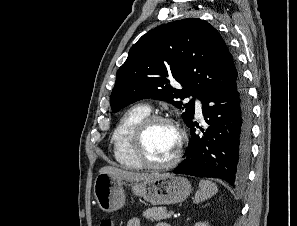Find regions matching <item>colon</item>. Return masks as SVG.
Returning <instances> with one entry per match:
<instances>
[{
    "label": "colon",
    "instance_id": "obj_1",
    "mask_svg": "<svg viewBox=\"0 0 297 226\" xmlns=\"http://www.w3.org/2000/svg\"><path fill=\"white\" fill-rule=\"evenodd\" d=\"M99 226H115L114 221L109 217H103Z\"/></svg>",
    "mask_w": 297,
    "mask_h": 226
}]
</instances>
